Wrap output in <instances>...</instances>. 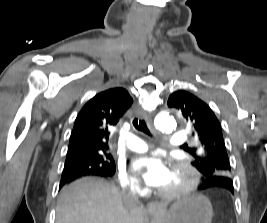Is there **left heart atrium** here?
<instances>
[{
    "label": "left heart atrium",
    "instance_id": "1",
    "mask_svg": "<svg viewBox=\"0 0 267 223\" xmlns=\"http://www.w3.org/2000/svg\"><path fill=\"white\" fill-rule=\"evenodd\" d=\"M133 170L149 187L162 188L170 179L171 171L157 156H141L133 161Z\"/></svg>",
    "mask_w": 267,
    "mask_h": 223
}]
</instances>
